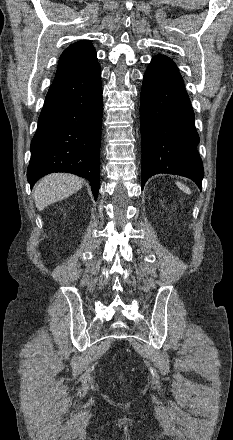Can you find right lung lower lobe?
Wrapping results in <instances>:
<instances>
[{"label":"right lung lower lobe","instance_id":"98d812e1","mask_svg":"<svg viewBox=\"0 0 233 440\" xmlns=\"http://www.w3.org/2000/svg\"><path fill=\"white\" fill-rule=\"evenodd\" d=\"M102 86L100 66L49 88L31 142L27 179L68 172L87 178L95 200L100 185Z\"/></svg>","mask_w":233,"mask_h":440}]
</instances>
